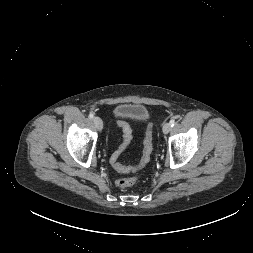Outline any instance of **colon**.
Returning a JSON list of instances; mask_svg holds the SVG:
<instances>
[{"label":"colon","instance_id":"colon-1","mask_svg":"<svg viewBox=\"0 0 253 253\" xmlns=\"http://www.w3.org/2000/svg\"><path fill=\"white\" fill-rule=\"evenodd\" d=\"M118 126L123 131V142L120 145V147L112 155L111 162L116 170L123 173H130V172L133 173V175L129 177L120 178L116 181V185L119 188L123 189V188L130 187L136 183L137 175L135 173L137 169L144 167L149 162L151 153H152V131H151V126H148L147 131L145 133V138H144L143 153H142V157H141L138 167H126L119 162V157L122 154V152L126 149V147L128 146L131 140V128L125 122L118 123Z\"/></svg>","mask_w":253,"mask_h":253}]
</instances>
